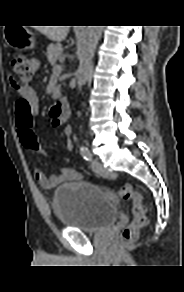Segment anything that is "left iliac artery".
I'll list each match as a JSON object with an SVG mask.
<instances>
[{
    "label": "left iliac artery",
    "instance_id": "left-iliac-artery-1",
    "mask_svg": "<svg viewBox=\"0 0 184 292\" xmlns=\"http://www.w3.org/2000/svg\"><path fill=\"white\" fill-rule=\"evenodd\" d=\"M80 150H81V154L85 160L91 161L93 159L92 153L90 152V150L87 147H81Z\"/></svg>",
    "mask_w": 184,
    "mask_h": 292
}]
</instances>
